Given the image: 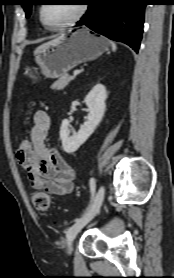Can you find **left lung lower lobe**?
I'll return each mask as SVG.
<instances>
[{"instance_id": "0a47b994", "label": "left lung lower lobe", "mask_w": 174, "mask_h": 278, "mask_svg": "<svg viewBox=\"0 0 174 278\" xmlns=\"http://www.w3.org/2000/svg\"><path fill=\"white\" fill-rule=\"evenodd\" d=\"M88 11L77 26L85 25L138 52L147 0H87Z\"/></svg>"}]
</instances>
